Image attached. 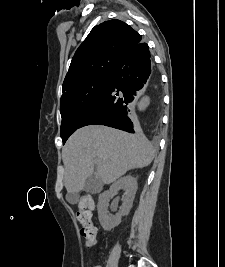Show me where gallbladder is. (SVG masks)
Listing matches in <instances>:
<instances>
[{
    "instance_id": "1",
    "label": "gallbladder",
    "mask_w": 225,
    "mask_h": 267,
    "mask_svg": "<svg viewBox=\"0 0 225 267\" xmlns=\"http://www.w3.org/2000/svg\"><path fill=\"white\" fill-rule=\"evenodd\" d=\"M102 189V183L100 179L96 178L94 175L89 176L85 181L84 190L90 193H97ZM66 200L70 204H76L78 201V193H68L66 195Z\"/></svg>"
}]
</instances>
